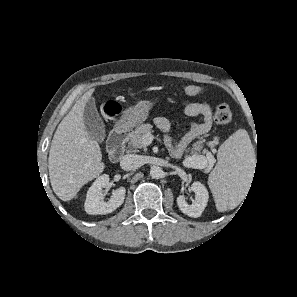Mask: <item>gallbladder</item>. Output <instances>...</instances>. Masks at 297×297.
I'll return each mask as SVG.
<instances>
[{
    "label": "gallbladder",
    "mask_w": 297,
    "mask_h": 297,
    "mask_svg": "<svg viewBox=\"0 0 297 297\" xmlns=\"http://www.w3.org/2000/svg\"><path fill=\"white\" fill-rule=\"evenodd\" d=\"M84 124L88 135L99 143L106 137L105 125L101 119L93 98H90L84 108Z\"/></svg>",
    "instance_id": "obj_1"
}]
</instances>
